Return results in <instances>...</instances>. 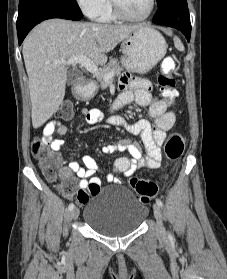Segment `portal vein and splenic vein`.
<instances>
[{"label": "portal vein and splenic vein", "mask_w": 227, "mask_h": 279, "mask_svg": "<svg viewBox=\"0 0 227 279\" xmlns=\"http://www.w3.org/2000/svg\"><path fill=\"white\" fill-rule=\"evenodd\" d=\"M58 65H75L80 64L84 66L90 73L97 75L98 74V66L88 57L81 55V56H74L69 58L67 61H56ZM113 76V73H108L105 76V80L109 81Z\"/></svg>", "instance_id": "portal-vein-and-splenic-vein-1"}]
</instances>
